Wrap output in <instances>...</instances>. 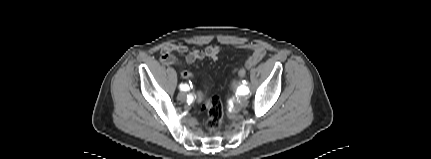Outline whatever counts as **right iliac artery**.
<instances>
[{
    "instance_id": "obj_1",
    "label": "right iliac artery",
    "mask_w": 431,
    "mask_h": 159,
    "mask_svg": "<svg viewBox=\"0 0 431 159\" xmlns=\"http://www.w3.org/2000/svg\"><path fill=\"white\" fill-rule=\"evenodd\" d=\"M180 90L182 91H188L189 90V86L187 84H181L179 86Z\"/></svg>"
}]
</instances>
